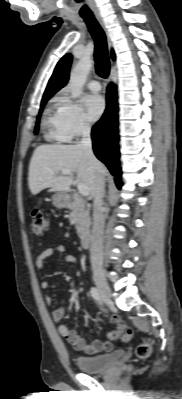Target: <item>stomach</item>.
Here are the masks:
<instances>
[{
    "label": "stomach",
    "mask_w": 182,
    "mask_h": 399,
    "mask_svg": "<svg viewBox=\"0 0 182 399\" xmlns=\"http://www.w3.org/2000/svg\"><path fill=\"white\" fill-rule=\"evenodd\" d=\"M69 201V196L65 192H57L52 196L53 205L59 209L69 206Z\"/></svg>",
    "instance_id": "1"
}]
</instances>
